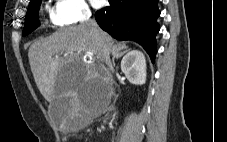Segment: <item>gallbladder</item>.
I'll use <instances>...</instances> for the list:
<instances>
[{
	"instance_id": "gallbladder-1",
	"label": "gallbladder",
	"mask_w": 227,
	"mask_h": 142,
	"mask_svg": "<svg viewBox=\"0 0 227 142\" xmlns=\"http://www.w3.org/2000/svg\"><path fill=\"white\" fill-rule=\"evenodd\" d=\"M73 108L71 104V98L66 97V94H63L62 98H56L52 101L49 106V115L57 124H61L67 113L70 112V109Z\"/></svg>"
}]
</instances>
